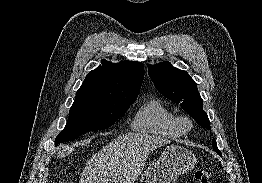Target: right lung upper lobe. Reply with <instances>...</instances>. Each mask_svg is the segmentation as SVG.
I'll use <instances>...</instances> for the list:
<instances>
[{
    "instance_id": "1",
    "label": "right lung upper lobe",
    "mask_w": 262,
    "mask_h": 183,
    "mask_svg": "<svg viewBox=\"0 0 262 183\" xmlns=\"http://www.w3.org/2000/svg\"><path fill=\"white\" fill-rule=\"evenodd\" d=\"M91 71L76 92V97H95L108 100L136 99L144 78L141 62L110 63Z\"/></svg>"
}]
</instances>
